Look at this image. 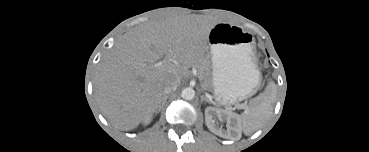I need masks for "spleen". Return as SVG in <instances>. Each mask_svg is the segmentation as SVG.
I'll use <instances>...</instances> for the list:
<instances>
[{"instance_id": "obj_1", "label": "spleen", "mask_w": 369, "mask_h": 152, "mask_svg": "<svg viewBox=\"0 0 369 152\" xmlns=\"http://www.w3.org/2000/svg\"><path fill=\"white\" fill-rule=\"evenodd\" d=\"M275 101V84L270 82L265 91L257 96L249 108L239 116L245 134H251L258 130L270 117Z\"/></svg>"}]
</instances>
